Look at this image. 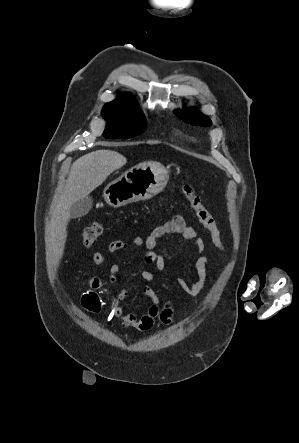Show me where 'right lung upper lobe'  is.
<instances>
[{
    "label": "right lung upper lobe",
    "mask_w": 299,
    "mask_h": 443,
    "mask_svg": "<svg viewBox=\"0 0 299 443\" xmlns=\"http://www.w3.org/2000/svg\"><path fill=\"white\" fill-rule=\"evenodd\" d=\"M119 97V99H116L115 101L109 102L107 104H119L128 107L139 108L134 97L129 93L121 94Z\"/></svg>",
    "instance_id": "1"
}]
</instances>
